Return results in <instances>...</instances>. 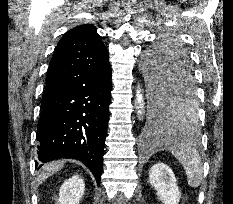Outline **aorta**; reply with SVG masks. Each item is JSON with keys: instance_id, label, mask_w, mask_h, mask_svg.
<instances>
[{"instance_id": "aorta-1", "label": "aorta", "mask_w": 233, "mask_h": 204, "mask_svg": "<svg viewBox=\"0 0 233 204\" xmlns=\"http://www.w3.org/2000/svg\"><path fill=\"white\" fill-rule=\"evenodd\" d=\"M136 102L138 104V114L141 116L144 113V102L141 91L138 89L136 92Z\"/></svg>"}]
</instances>
